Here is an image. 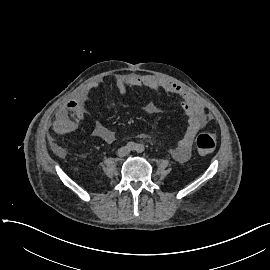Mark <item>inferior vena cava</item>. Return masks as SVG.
Listing matches in <instances>:
<instances>
[{
	"label": "inferior vena cava",
	"instance_id": "602c4592",
	"mask_svg": "<svg viewBox=\"0 0 270 270\" xmlns=\"http://www.w3.org/2000/svg\"><path fill=\"white\" fill-rule=\"evenodd\" d=\"M129 152H130V150L127 147H121L120 149H118V156L124 157V156L128 155Z\"/></svg>",
	"mask_w": 270,
	"mask_h": 270
}]
</instances>
